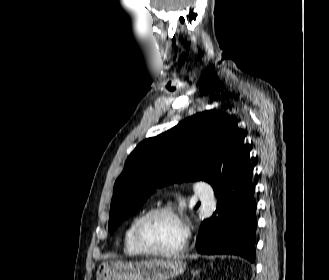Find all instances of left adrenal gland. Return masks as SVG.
<instances>
[{"label":"left adrenal gland","mask_w":329,"mask_h":280,"mask_svg":"<svg viewBox=\"0 0 329 280\" xmlns=\"http://www.w3.org/2000/svg\"><path fill=\"white\" fill-rule=\"evenodd\" d=\"M199 271L198 270H192L191 275H192V280L198 275Z\"/></svg>","instance_id":"a2214340"}]
</instances>
